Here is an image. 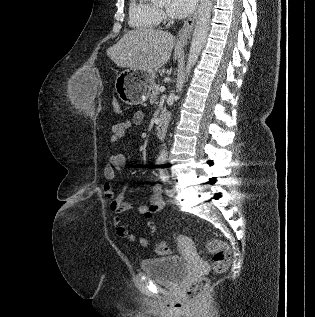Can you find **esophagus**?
Listing matches in <instances>:
<instances>
[{
	"instance_id": "esophagus-1",
	"label": "esophagus",
	"mask_w": 315,
	"mask_h": 317,
	"mask_svg": "<svg viewBox=\"0 0 315 317\" xmlns=\"http://www.w3.org/2000/svg\"><path fill=\"white\" fill-rule=\"evenodd\" d=\"M197 18V10L187 18L182 28L178 32V38L183 45H186L191 37Z\"/></svg>"
}]
</instances>
